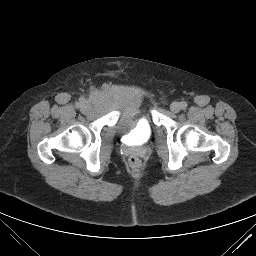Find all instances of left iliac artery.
Wrapping results in <instances>:
<instances>
[{"label":"left iliac artery","mask_w":256,"mask_h":256,"mask_svg":"<svg viewBox=\"0 0 256 256\" xmlns=\"http://www.w3.org/2000/svg\"><path fill=\"white\" fill-rule=\"evenodd\" d=\"M180 105H181V108H182L183 110L187 108V103L184 102V101L181 102Z\"/></svg>","instance_id":"44dca946"}]
</instances>
